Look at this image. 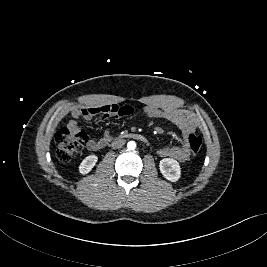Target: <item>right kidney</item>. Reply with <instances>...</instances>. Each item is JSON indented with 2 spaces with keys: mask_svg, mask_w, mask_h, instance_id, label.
<instances>
[{
  "mask_svg": "<svg viewBox=\"0 0 267 267\" xmlns=\"http://www.w3.org/2000/svg\"><path fill=\"white\" fill-rule=\"evenodd\" d=\"M98 161L96 155L87 156L79 166V172L83 175L88 174Z\"/></svg>",
  "mask_w": 267,
  "mask_h": 267,
  "instance_id": "ca27d5eb",
  "label": "right kidney"
}]
</instances>
